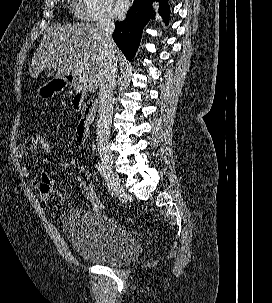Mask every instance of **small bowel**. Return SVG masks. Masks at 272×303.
<instances>
[{
  "label": "small bowel",
  "mask_w": 272,
  "mask_h": 303,
  "mask_svg": "<svg viewBox=\"0 0 272 303\" xmlns=\"http://www.w3.org/2000/svg\"><path fill=\"white\" fill-rule=\"evenodd\" d=\"M34 136L28 137L24 143L20 144L17 148V156L19 158H25L30 151H34ZM22 173L24 176L29 177L31 171L27 166L22 167ZM33 183L37 187L40 194L44 197L49 192L54 191V179L46 171L40 172L33 178Z\"/></svg>",
  "instance_id": "small-bowel-1"
}]
</instances>
